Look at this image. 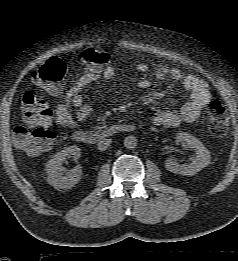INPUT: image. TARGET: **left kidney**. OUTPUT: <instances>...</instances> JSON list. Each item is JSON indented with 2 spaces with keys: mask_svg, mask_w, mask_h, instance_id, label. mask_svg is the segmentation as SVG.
Here are the masks:
<instances>
[{
  "mask_svg": "<svg viewBox=\"0 0 238 261\" xmlns=\"http://www.w3.org/2000/svg\"><path fill=\"white\" fill-rule=\"evenodd\" d=\"M176 139L185 142L189 148L195 150L196 154L189 165H179L173 158H167L165 167L168 171L184 176H192L209 165L210 153L197 138L182 132L177 134Z\"/></svg>",
  "mask_w": 238,
  "mask_h": 261,
  "instance_id": "1",
  "label": "left kidney"
}]
</instances>
